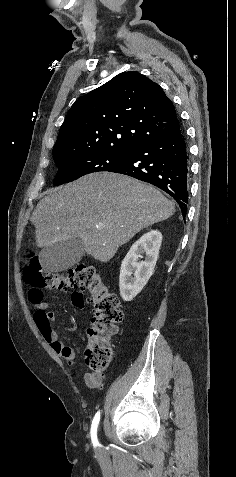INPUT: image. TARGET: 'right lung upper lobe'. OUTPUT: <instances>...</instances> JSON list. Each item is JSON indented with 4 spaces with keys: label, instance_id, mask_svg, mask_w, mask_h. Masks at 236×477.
<instances>
[{
    "label": "right lung upper lobe",
    "instance_id": "1",
    "mask_svg": "<svg viewBox=\"0 0 236 477\" xmlns=\"http://www.w3.org/2000/svg\"><path fill=\"white\" fill-rule=\"evenodd\" d=\"M178 123L171 100L157 83L135 71L123 72L72 105L53 157L87 151L128 155Z\"/></svg>",
    "mask_w": 236,
    "mask_h": 477
}]
</instances>
